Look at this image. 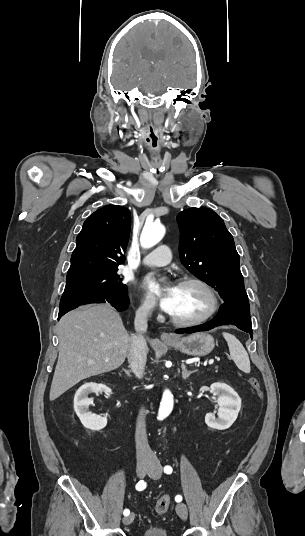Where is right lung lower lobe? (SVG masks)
<instances>
[{"instance_id": "1", "label": "right lung lower lobe", "mask_w": 305, "mask_h": 536, "mask_svg": "<svg viewBox=\"0 0 305 536\" xmlns=\"http://www.w3.org/2000/svg\"><path fill=\"white\" fill-rule=\"evenodd\" d=\"M109 302L118 311L125 310L129 304L127 294L124 296H98L85 293H76L63 295L60 300L58 320L68 311L77 308L80 305L90 303H106Z\"/></svg>"}]
</instances>
